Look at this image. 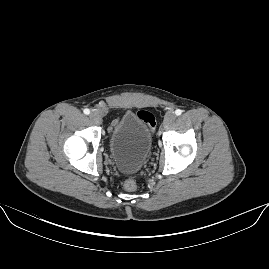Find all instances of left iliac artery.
<instances>
[{
  "label": "left iliac artery",
  "instance_id": "1",
  "mask_svg": "<svg viewBox=\"0 0 269 269\" xmlns=\"http://www.w3.org/2000/svg\"><path fill=\"white\" fill-rule=\"evenodd\" d=\"M181 113H182V111H181L180 109H177V110L175 111V114H176L177 116L181 115Z\"/></svg>",
  "mask_w": 269,
  "mask_h": 269
}]
</instances>
